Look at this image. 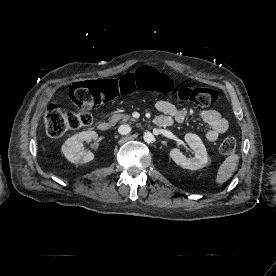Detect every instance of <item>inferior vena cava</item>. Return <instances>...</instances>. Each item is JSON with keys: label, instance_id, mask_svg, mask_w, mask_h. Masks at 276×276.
<instances>
[{"label": "inferior vena cava", "instance_id": "602c4592", "mask_svg": "<svg viewBox=\"0 0 276 276\" xmlns=\"http://www.w3.org/2000/svg\"><path fill=\"white\" fill-rule=\"evenodd\" d=\"M131 131V127L127 124H124V125H121L119 128H118V132L121 134V135H127L129 132Z\"/></svg>", "mask_w": 276, "mask_h": 276}]
</instances>
